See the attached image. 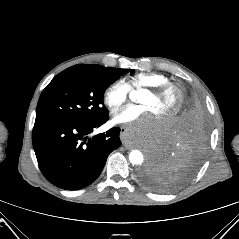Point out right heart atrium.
Returning a JSON list of instances; mask_svg holds the SVG:
<instances>
[{
  "label": "right heart atrium",
  "mask_w": 239,
  "mask_h": 239,
  "mask_svg": "<svg viewBox=\"0 0 239 239\" xmlns=\"http://www.w3.org/2000/svg\"><path fill=\"white\" fill-rule=\"evenodd\" d=\"M129 93V84L124 80L119 79L109 84L105 89L103 101L111 111H116L126 102Z\"/></svg>",
  "instance_id": "d8ad5b80"
}]
</instances>
